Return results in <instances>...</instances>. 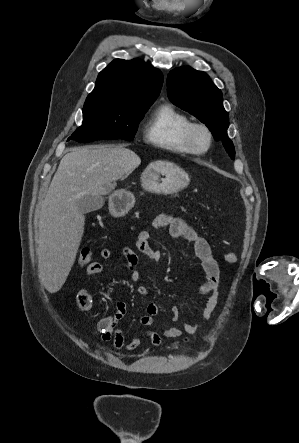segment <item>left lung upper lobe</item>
<instances>
[{"label": "left lung upper lobe", "instance_id": "1", "mask_svg": "<svg viewBox=\"0 0 299 443\" xmlns=\"http://www.w3.org/2000/svg\"><path fill=\"white\" fill-rule=\"evenodd\" d=\"M167 92L170 101L204 123L234 159V145L227 135L229 118L223 107L222 92L209 76L188 66L176 68L168 74Z\"/></svg>", "mask_w": 299, "mask_h": 443}]
</instances>
